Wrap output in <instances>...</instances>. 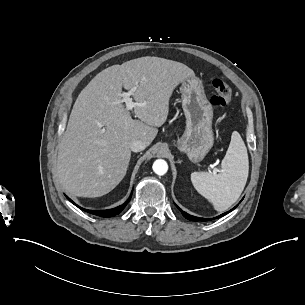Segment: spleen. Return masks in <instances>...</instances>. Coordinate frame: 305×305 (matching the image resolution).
<instances>
[{"mask_svg": "<svg viewBox=\"0 0 305 305\" xmlns=\"http://www.w3.org/2000/svg\"><path fill=\"white\" fill-rule=\"evenodd\" d=\"M248 177L246 147L238 132L231 134L229 147L219 173L192 172L190 180L197 191L216 211H224L240 196Z\"/></svg>", "mask_w": 305, "mask_h": 305, "instance_id": "1", "label": "spleen"}]
</instances>
